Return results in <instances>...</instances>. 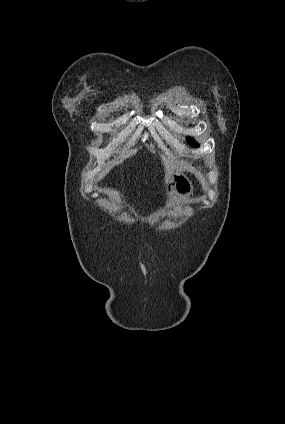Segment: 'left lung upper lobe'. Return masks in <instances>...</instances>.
Here are the masks:
<instances>
[{
    "label": "left lung upper lobe",
    "mask_w": 285,
    "mask_h": 424,
    "mask_svg": "<svg viewBox=\"0 0 285 424\" xmlns=\"http://www.w3.org/2000/svg\"><path fill=\"white\" fill-rule=\"evenodd\" d=\"M187 142L194 147H198V144L192 138H188Z\"/></svg>",
    "instance_id": "5c2ea615"
}]
</instances>
